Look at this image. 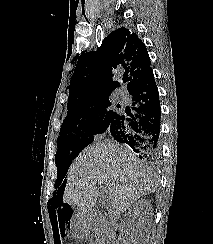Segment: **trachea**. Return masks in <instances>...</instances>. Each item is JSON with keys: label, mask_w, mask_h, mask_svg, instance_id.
<instances>
[{"label": "trachea", "mask_w": 213, "mask_h": 244, "mask_svg": "<svg viewBox=\"0 0 213 244\" xmlns=\"http://www.w3.org/2000/svg\"><path fill=\"white\" fill-rule=\"evenodd\" d=\"M126 81H128V79H127V78H124V79H123V82L125 83Z\"/></svg>", "instance_id": "obj_1"}]
</instances>
